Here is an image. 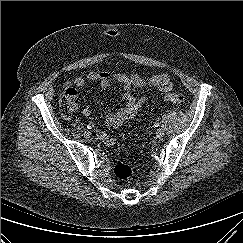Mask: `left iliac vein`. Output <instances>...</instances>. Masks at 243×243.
<instances>
[{"label":"left iliac vein","instance_id":"1","mask_svg":"<svg viewBox=\"0 0 243 243\" xmlns=\"http://www.w3.org/2000/svg\"><path fill=\"white\" fill-rule=\"evenodd\" d=\"M163 135H164V130H163L162 128H158V129L156 130V136H157L158 138H161V137H163Z\"/></svg>","mask_w":243,"mask_h":243}]
</instances>
